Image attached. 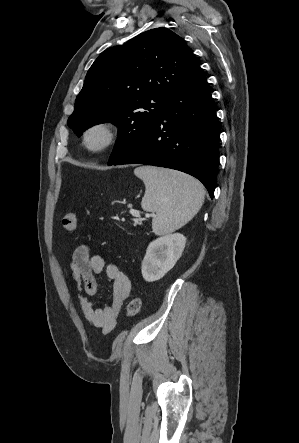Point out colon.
<instances>
[{"label": "colon", "instance_id": "5ec220e1", "mask_svg": "<svg viewBox=\"0 0 299 443\" xmlns=\"http://www.w3.org/2000/svg\"><path fill=\"white\" fill-rule=\"evenodd\" d=\"M62 226L69 233L73 234L77 226V218L74 212L66 211L62 216ZM141 309V300L138 297L132 298L126 307V314L129 317L138 315Z\"/></svg>", "mask_w": 299, "mask_h": 443}]
</instances>
